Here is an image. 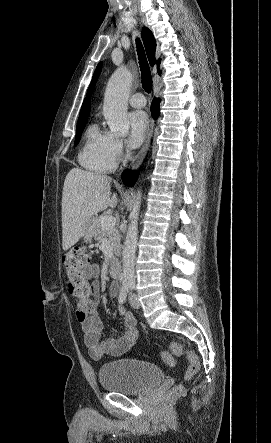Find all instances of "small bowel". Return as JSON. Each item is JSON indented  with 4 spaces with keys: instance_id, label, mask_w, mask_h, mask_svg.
I'll list each match as a JSON object with an SVG mask.
<instances>
[{
    "instance_id": "c3829d8e",
    "label": "small bowel",
    "mask_w": 271,
    "mask_h": 443,
    "mask_svg": "<svg viewBox=\"0 0 271 443\" xmlns=\"http://www.w3.org/2000/svg\"><path fill=\"white\" fill-rule=\"evenodd\" d=\"M84 276L88 280H92L93 288V303L95 309L88 313L84 305L77 301V318L81 324L84 333V341L89 349L90 356L93 359H101L104 356H120L126 353L136 342L138 336L137 324L132 313L126 311L122 306H119V313L124 321L125 331L123 334H103V325L97 315V305L100 298V283L101 267L98 264H91L87 266L84 271ZM118 292V286L113 284L110 287V295L115 297Z\"/></svg>"
}]
</instances>
